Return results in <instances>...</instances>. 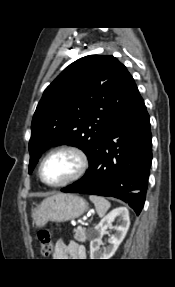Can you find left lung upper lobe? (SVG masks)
<instances>
[{
    "mask_svg": "<svg viewBox=\"0 0 175 287\" xmlns=\"http://www.w3.org/2000/svg\"><path fill=\"white\" fill-rule=\"evenodd\" d=\"M139 95L133 77L113 56L89 55L65 68L45 89L32 120L31 173L50 146L83 150L89 167L111 125Z\"/></svg>",
    "mask_w": 175,
    "mask_h": 287,
    "instance_id": "5c2ea615",
    "label": "left lung upper lobe"
}]
</instances>
